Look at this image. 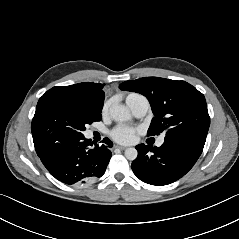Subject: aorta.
Returning a JSON list of instances; mask_svg holds the SVG:
<instances>
[{
    "instance_id": "obj_1",
    "label": "aorta",
    "mask_w": 239,
    "mask_h": 239,
    "mask_svg": "<svg viewBox=\"0 0 239 239\" xmlns=\"http://www.w3.org/2000/svg\"><path fill=\"white\" fill-rule=\"evenodd\" d=\"M110 115L116 122L129 121L131 119L129 110L124 106H115L111 108ZM124 154L128 160L133 161L137 158L138 152L135 148H127Z\"/></svg>"
}]
</instances>
